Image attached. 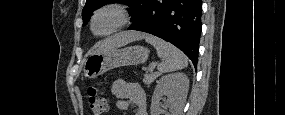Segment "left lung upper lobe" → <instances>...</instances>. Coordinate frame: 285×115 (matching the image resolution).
I'll return each instance as SVG.
<instances>
[{"label": "left lung upper lobe", "mask_w": 285, "mask_h": 115, "mask_svg": "<svg viewBox=\"0 0 285 115\" xmlns=\"http://www.w3.org/2000/svg\"><path fill=\"white\" fill-rule=\"evenodd\" d=\"M142 0H86V4L82 11V19H83V26L87 25L91 13L108 4V3H122L128 5L131 9L129 11L130 14L134 13L135 10L138 8L139 4Z\"/></svg>", "instance_id": "1"}]
</instances>
